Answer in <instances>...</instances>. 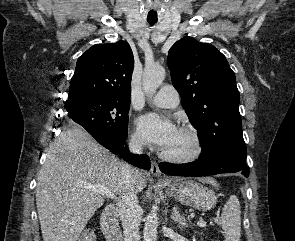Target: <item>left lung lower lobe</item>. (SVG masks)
<instances>
[{"mask_svg": "<svg viewBox=\"0 0 295 241\" xmlns=\"http://www.w3.org/2000/svg\"><path fill=\"white\" fill-rule=\"evenodd\" d=\"M160 171L174 176H210L220 173L241 172L245 177L249 175L246 161L227 156H212L200 158L186 164H172L161 162Z\"/></svg>", "mask_w": 295, "mask_h": 241, "instance_id": "1", "label": "left lung lower lobe"}]
</instances>
